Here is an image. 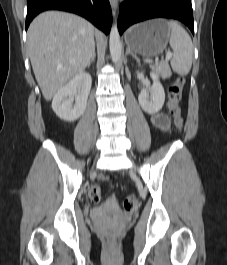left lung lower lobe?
<instances>
[{
    "mask_svg": "<svg viewBox=\"0 0 227 265\" xmlns=\"http://www.w3.org/2000/svg\"><path fill=\"white\" fill-rule=\"evenodd\" d=\"M173 18L186 24L194 34L191 0H132L121 3L118 29L120 34L130 25L152 18Z\"/></svg>",
    "mask_w": 227,
    "mask_h": 265,
    "instance_id": "1",
    "label": "left lung lower lobe"
}]
</instances>
